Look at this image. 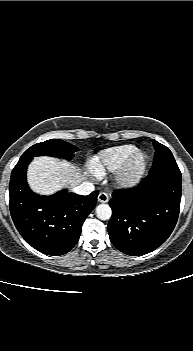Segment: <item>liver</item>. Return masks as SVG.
Listing matches in <instances>:
<instances>
[{
  "instance_id": "obj_1",
  "label": "liver",
  "mask_w": 193,
  "mask_h": 351,
  "mask_svg": "<svg viewBox=\"0 0 193 351\" xmlns=\"http://www.w3.org/2000/svg\"><path fill=\"white\" fill-rule=\"evenodd\" d=\"M88 172L53 157H36L27 171L31 189L41 195H52L62 188H73L88 180Z\"/></svg>"
}]
</instances>
